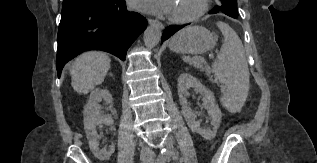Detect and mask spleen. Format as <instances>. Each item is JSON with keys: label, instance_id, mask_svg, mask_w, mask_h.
I'll list each match as a JSON object with an SVG mask.
<instances>
[{"label": "spleen", "instance_id": "3e777b00", "mask_svg": "<svg viewBox=\"0 0 317 163\" xmlns=\"http://www.w3.org/2000/svg\"><path fill=\"white\" fill-rule=\"evenodd\" d=\"M224 41L213 72L224 86L220 102L230 112L237 113L243 107L249 91V69L242 41L226 23L218 22Z\"/></svg>", "mask_w": 317, "mask_h": 163}]
</instances>
